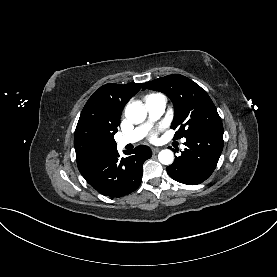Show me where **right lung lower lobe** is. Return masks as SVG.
<instances>
[{
    "label": "right lung lower lobe",
    "instance_id": "right-lung-lower-lobe-1",
    "mask_svg": "<svg viewBox=\"0 0 277 277\" xmlns=\"http://www.w3.org/2000/svg\"><path fill=\"white\" fill-rule=\"evenodd\" d=\"M124 153L128 155L125 158L114 150L82 176L100 194L111 198L128 195L139 187L143 163L152 152L148 146L140 145Z\"/></svg>",
    "mask_w": 277,
    "mask_h": 277
}]
</instances>
